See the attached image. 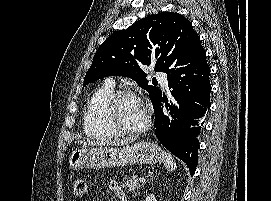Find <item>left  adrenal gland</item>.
<instances>
[{"mask_svg": "<svg viewBox=\"0 0 271 201\" xmlns=\"http://www.w3.org/2000/svg\"><path fill=\"white\" fill-rule=\"evenodd\" d=\"M144 184H142V186H143ZM142 186L140 187V188H142ZM140 188H139V190H140ZM139 190L137 191V193H136V195L139 193Z\"/></svg>", "mask_w": 271, "mask_h": 201, "instance_id": "a2214340", "label": "left adrenal gland"}]
</instances>
